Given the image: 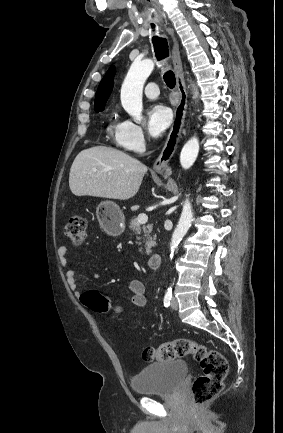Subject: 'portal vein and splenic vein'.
Returning <instances> with one entry per match:
<instances>
[{
	"label": "portal vein and splenic vein",
	"instance_id": "obj_1",
	"mask_svg": "<svg viewBox=\"0 0 283 433\" xmlns=\"http://www.w3.org/2000/svg\"><path fill=\"white\" fill-rule=\"evenodd\" d=\"M95 172H96V170H95ZM137 221H138V223H142V225H143V223H147V221H148L147 214H144V212H143V214H138Z\"/></svg>",
	"mask_w": 283,
	"mask_h": 433
}]
</instances>
